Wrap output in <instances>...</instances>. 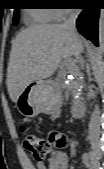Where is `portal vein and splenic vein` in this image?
I'll return each mask as SVG.
<instances>
[{
    "label": "portal vein and splenic vein",
    "mask_w": 104,
    "mask_h": 169,
    "mask_svg": "<svg viewBox=\"0 0 104 169\" xmlns=\"http://www.w3.org/2000/svg\"><path fill=\"white\" fill-rule=\"evenodd\" d=\"M67 68L69 69V72L71 74L76 75V72L78 71L77 65H75L74 63H68Z\"/></svg>",
    "instance_id": "portal-vein-and-splenic-vein-1"
}]
</instances>
